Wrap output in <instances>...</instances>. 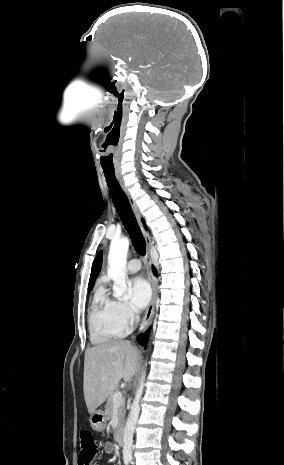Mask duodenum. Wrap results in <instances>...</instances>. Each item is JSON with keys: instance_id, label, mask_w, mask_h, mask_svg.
<instances>
[{"instance_id": "410a0bca", "label": "duodenum", "mask_w": 284, "mask_h": 465, "mask_svg": "<svg viewBox=\"0 0 284 465\" xmlns=\"http://www.w3.org/2000/svg\"><path fill=\"white\" fill-rule=\"evenodd\" d=\"M123 437H124V431L121 429L116 430L115 434V441L117 444H122L123 443Z\"/></svg>"}]
</instances>
